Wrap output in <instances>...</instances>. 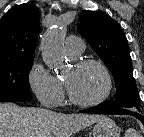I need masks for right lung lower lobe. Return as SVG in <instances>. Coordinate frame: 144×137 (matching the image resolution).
Masks as SVG:
<instances>
[{
  "mask_svg": "<svg viewBox=\"0 0 144 137\" xmlns=\"http://www.w3.org/2000/svg\"><path fill=\"white\" fill-rule=\"evenodd\" d=\"M0 102H8V101H0Z\"/></svg>",
  "mask_w": 144,
  "mask_h": 137,
  "instance_id": "obj_1",
  "label": "right lung lower lobe"
}]
</instances>
